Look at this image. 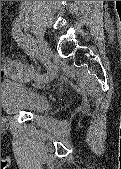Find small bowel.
<instances>
[{
  "mask_svg": "<svg viewBox=\"0 0 121 169\" xmlns=\"http://www.w3.org/2000/svg\"><path fill=\"white\" fill-rule=\"evenodd\" d=\"M51 72L54 73L52 68H51ZM1 75L9 76L16 79L28 80L31 77L33 78L35 74H33V70L31 66L19 60L6 57L2 61Z\"/></svg>",
  "mask_w": 121,
  "mask_h": 169,
  "instance_id": "obj_1",
  "label": "small bowel"
}]
</instances>
